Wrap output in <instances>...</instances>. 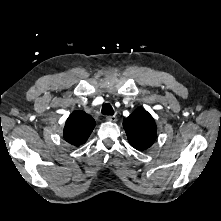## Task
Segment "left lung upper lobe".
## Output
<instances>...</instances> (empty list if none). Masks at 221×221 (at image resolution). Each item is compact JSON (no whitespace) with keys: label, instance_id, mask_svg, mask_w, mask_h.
Segmentation results:
<instances>
[{"label":"left lung upper lobe","instance_id":"obj_1","mask_svg":"<svg viewBox=\"0 0 221 221\" xmlns=\"http://www.w3.org/2000/svg\"><path fill=\"white\" fill-rule=\"evenodd\" d=\"M123 126L132 147L137 150L149 148L156 140V124L152 116L142 107L123 121Z\"/></svg>","mask_w":221,"mask_h":221}]
</instances>
